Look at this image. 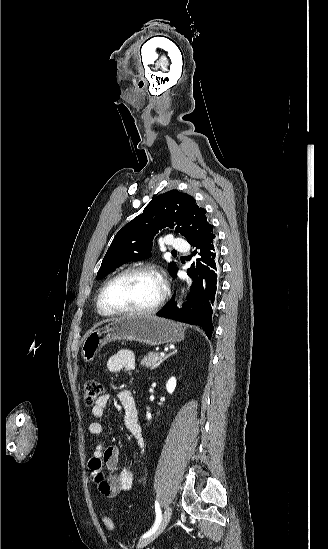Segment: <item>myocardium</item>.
I'll use <instances>...</instances> for the list:
<instances>
[{
    "mask_svg": "<svg viewBox=\"0 0 328 549\" xmlns=\"http://www.w3.org/2000/svg\"><path fill=\"white\" fill-rule=\"evenodd\" d=\"M164 268L163 265H161L158 262H151V261H140V262H134L130 263L128 265H125L121 270H119L114 276H112L101 288V291L98 296V310L105 316L110 318H124V317H130V316H147L156 313L161 305L163 304L167 292H168V286L163 278L162 274L160 273L159 269ZM136 270H142L149 272L153 275H155L161 282L162 290L158 297V299L153 302L149 307L146 308H140V309H129V310H123V311H116L111 309L105 300L106 292L108 288L121 276H123L126 273H129L131 271ZM97 307V306H96Z\"/></svg>",
    "mask_w": 328,
    "mask_h": 549,
    "instance_id": "myocardium-1",
    "label": "myocardium"
}]
</instances>
